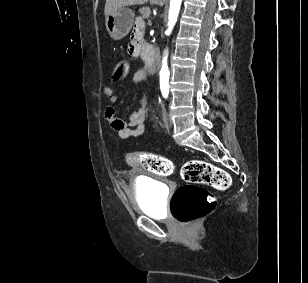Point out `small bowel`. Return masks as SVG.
Listing matches in <instances>:
<instances>
[{"label": "small bowel", "instance_id": "1", "mask_svg": "<svg viewBox=\"0 0 308 283\" xmlns=\"http://www.w3.org/2000/svg\"><path fill=\"white\" fill-rule=\"evenodd\" d=\"M144 32L145 25L143 20L137 19L127 45V52L132 57H139L142 55ZM146 78L147 72L144 69L138 70L133 76L134 82L145 81ZM103 93L110 103L105 110V118L109 122L110 127L121 139L138 137L146 132V120L148 117L146 108L140 107L123 119L117 115L115 108L117 97L115 95L114 88L112 86H105L103 88Z\"/></svg>", "mask_w": 308, "mask_h": 283}]
</instances>
